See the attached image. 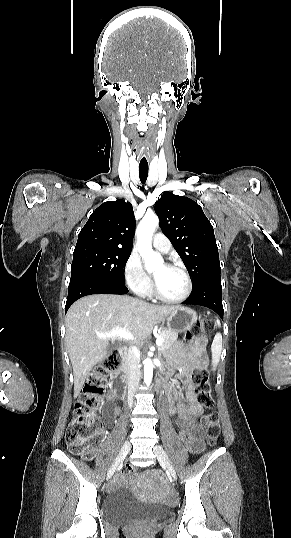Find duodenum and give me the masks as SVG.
Listing matches in <instances>:
<instances>
[{"label":"duodenum","mask_w":291,"mask_h":538,"mask_svg":"<svg viewBox=\"0 0 291 538\" xmlns=\"http://www.w3.org/2000/svg\"><path fill=\"white\" fill-rule=\"evenodd\" d=\"M120 354L123 359V363L119 365L120 373H125L127 371V352L126 350H121ZM120 373H115L111 376L110 384L113 387L112 391L116 396L124 397L126 393L125 382L122 380ZM158 382H155V387H162V384L167 381L168 374L166 372H160L158 374Z\"/></svg>","instance_id":"410a0bca"}]
</instances>
